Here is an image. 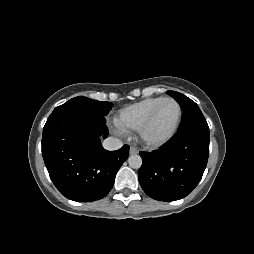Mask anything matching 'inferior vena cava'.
Here are the masks:
<instances>
[{"label": "inferior vena cava", "mask_w": 254, "mask_h": 254, "mask_svg": "<svg viewBox=\"0 0 254 254\" xmlns=\"http://www.w3.org/2000/svg\"><path fill=\"white\" fill-rule=\"evenodd\" d=\"M123 146V142L115 137H108L103 141V147L106 150L113 151L121 148Z\"/></svg>", "instance_id": "602c4592"}]
</instances>
